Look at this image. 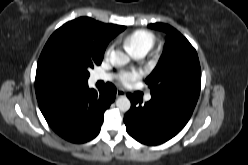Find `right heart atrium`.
<instances>
[{"label": "right heart atrium", "mask_w": 248, "mask_h": 165, "mask_svg": "<svg viewBox=\"0 0 248 165\" xmlns=\"http://www.w3.org/2000/svg\"><path fill=\"white\" fill-rule=\"evenodd\" d=\"M111 52V48L108 49L107 53L109 54Z\"/></svg>", "instance_id": "d8ad5b80"}]
</instances>
